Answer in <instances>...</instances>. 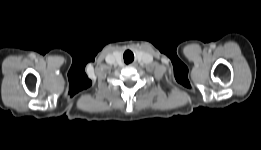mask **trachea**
Instances as JSON below:
<instances>
[{
    "instance_id": "3493384b",
    "label": "trachea",
    "mask_w": 261,
    "mask_h": 150,
    "mask_svg": "<svg viewBox=\"0 0 261 150\" xmlns=\"http://www.w3.org/2000/svg\"><path fill=\"white\" fill-rule=\"evenodd\" d=\"M134 60V55L131 51L127 50L125 53H124V62L126 64H129L131 63L132 61Z\"/></svg>"
}]
</instances>
